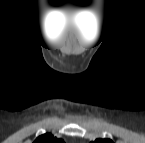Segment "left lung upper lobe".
Masks as SVG:
<instances>
[{"label":"left lung upper lobe","mask_w":145,"mask_h":143,"mask_svg":"<svg viewBox=\"0 0 145 143\" xmlns=\"http://www.w3.org/2000/svg\"><path fill=\"white\" fill-rule=\"evenodd\" d=\"M95 143H112L110 139H97Z\"/></svg>","instance_id":"5c2ea615"}]
</instances>
